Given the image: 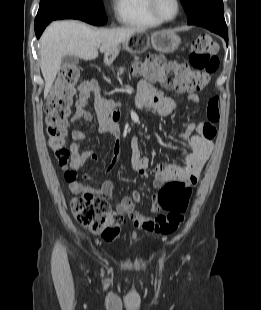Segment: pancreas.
<instances>
[{
	"label": "pancreas",
	"mask_w": 261,
	"mask_h": 310,
	"mask_svg": "<svg viewBox=\"0 0 261 310\" xmlns=\"http://www.w3.org/2000/svg\"><path fill=\"white\" fill-rule=\"evenodd\" d=\"M123 72H124V68L121 67V68L119 69V74H122ZM119 82H121V79H119Z\"/></svg>",
	"instance_id": "cf45deb5"
}]
</instances>
